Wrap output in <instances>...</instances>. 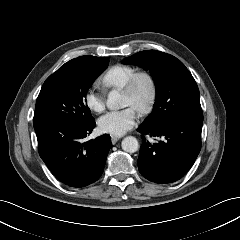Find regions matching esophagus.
<instances>
[{"instance_id": "34e87169", "label": "esophagus", "mask_w": 240, "mask_h": 240, "mask_svg": "<svg viewBox=\"0 0 240 240\" xmlns=\"http://www.w3.org/2000/svg\"><path fill=\"white\" fill-rule=\"evenodd\" d=\"M119 139H120V137H118V136H113V135L111 136V141L113 144H115Z\"/></svg>"}]
</instances>
